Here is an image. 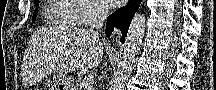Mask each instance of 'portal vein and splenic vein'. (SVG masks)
<instances>
[{
  "mask_svg": "<svg viewBox=\"0 0 216 90\" xmlns=\"http://www.w3.org/2000/svg\"><path fill=\"white\" fill-rule=\"evenodd\" d=\"M92 84H93L92 78H84L81 88L82 90H88V88H91Z\"/></svg>",
  "mask_w": 216,
  "mask_h": 90,
  "instance_id": "obj_1",
  "label": "portal vein and splenic vein"
}]
</instances>
